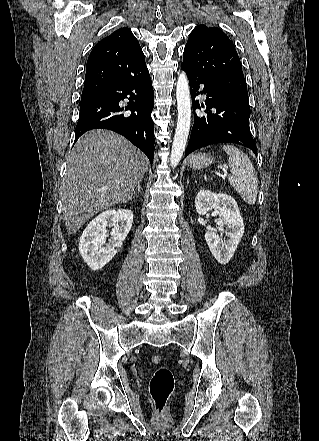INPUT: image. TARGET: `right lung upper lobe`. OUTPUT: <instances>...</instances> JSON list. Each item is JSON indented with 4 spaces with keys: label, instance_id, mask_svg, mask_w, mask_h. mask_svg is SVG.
Segmentation results:
<instances>
[{
    "label": "right lung upper lobe",
    "instance_id": "cb5924a9",
    "mask_svg": "<svg viewBox=\"0 0 319 441\" xmlns=\"http://www.w3.org/2000/svg\"><path fill=\"white\" fill-rule=\"evenodd\" d=\"M144 54L130 29L119 28L91 51L81 99L122 78L144 70Z\"/></svg>",
    "mask_w": 319,
    "mask_h": 441
}]
</instances>
